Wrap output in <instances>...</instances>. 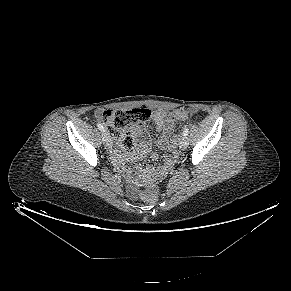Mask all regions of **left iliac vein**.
Returning a JSON list of instances; mask_svg holds the SVG:
<instances>
[{"label":"left iliac vein","instance_id":"1","mask_svg":"<svg viewBox=\"0 0 291 291\" xmlns=\"http://www.w3.org/2000/svg\"><path fill=\"white\" fill-rule=\"evenodd\" d=\"M179 146L181 149H186L188 147V139L186 136H181L179 140Z\"/></svg>","mask_w":291,"mask_h":291}]
</instances>
